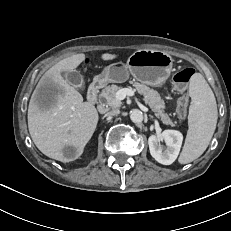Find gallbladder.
<instances>
[{
	"label": "gallbladder",
	"instance_id": "gallbladder-1",
	"mask_svg": "<svg viewBox=\"0 0 231 231\" xmlns=\"http://www.w3.org/2000/svg\"><path fill=\"white\" fill-rule=\"evenodd\" d=\"M65 78L67 80V82L74 86V87H77V88H80L82 85H83V77L82 75L76 71V70H73V71H70V72H67L65 74Z\"/></svg>",
	"mask_w": 231,
	"mask_h": 231
}]
</instances>
